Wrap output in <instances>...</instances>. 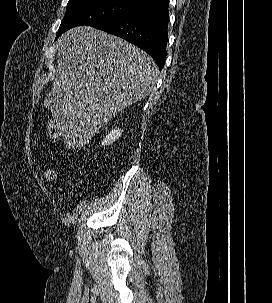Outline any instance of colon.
<instances>
[{
	"label": "colon",
	"instance_id": "5ec220e1",
	"mask_svg": "<svg viewBox=\"0 0 272 303\" xmlns=\"http://www.w3.org/2000/svg\"><path fill=\"white\" fill-rule=\"evenodd\" d=\"M47 133L51 140L55 141L59 138L60 132L58 129V123L56 120H50L47 126ZM42 177L46 181H54L57 179V171L52 166H46L42 168L41 171Z\"/></svg>",
	"mask_w": 272,
	"mask_h": 303
}]
</instances>
